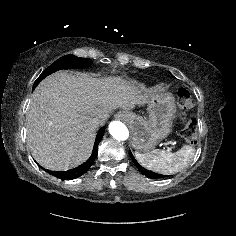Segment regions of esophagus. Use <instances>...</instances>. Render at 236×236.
<instances>
[{"label": "esophagus", "instance_id": "esophagus-1", "mask_svg": "<svg viewBox=\"0 0 236 236\" xmlns=\"http://www.w3.org/2000/svg\"><path fill=\"white\" fill-rule=\"evenodd\" d=\"M115 117L118 118V119H120V118L124 117V114L120 112V113H117V114L115 115Z\"/></svg>", "mask_w": 236, "mask_h": 236}]
</instances>
